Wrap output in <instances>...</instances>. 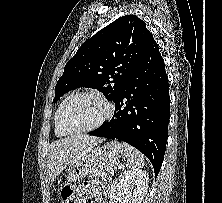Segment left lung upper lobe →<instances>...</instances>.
<instances>
[{
    "mask_svg": "<svg viewBox=\"0 0 222 203\" xmlns=\"http://www.w3.org/2000/svg\"><path fill=\"white\" fill-rule=\"evenodd\" d=\"M151 33L135 15L118 18L86 40L67 62L53 102L79 87L97 89L115 100L147 45Z\"/></svg>",
    "mask_w": 222,
    "mask_h": 203,
    "instance_id": "5c2ea615",
    "label": "left lung upper lobe"
}]
</instances>
